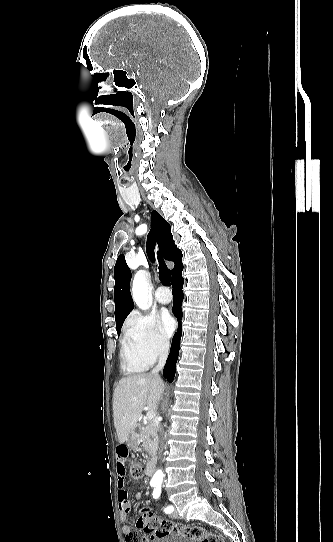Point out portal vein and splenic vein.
<instances>
[{
	"label": "portal vein and splenic vein",
	"mask_w": 333,
	"mask_h": 542,
	"mask_svg": "<svg viewBox=\"0 0 333 542\" xmlns=\"http://www.w3.org/2000/svg\"><path fill=\"white\" fill-rule=\"evenodd\" d=\"M155 416H156V410H148V412L146 414L147 420H153V418H155Z\"/></svg>",
	"instance_id": "portal-vein-and-splenic-vein-1"
}]
</instances>
